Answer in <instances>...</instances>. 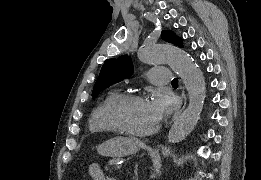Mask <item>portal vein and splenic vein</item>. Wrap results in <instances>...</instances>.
<instances>
[{
	"instance_id": "1",
	"label": "portal vein and splenic vein",
	"mask_w": 261,
	"mask_h": 180,
	"mask_svg": "<svg viewBox=\"0 0 261 180\" xmlns=\"http://www.w3.org/2000/svg\"><path fill=\"white\" fill-rule=\"evenodd\" d=\"M113 166L115 167L116 170H123V165H120L119 162H114Z\"/></svg>"
}]
</instances>
